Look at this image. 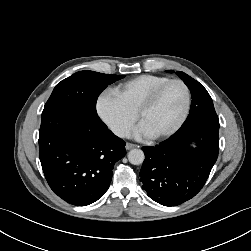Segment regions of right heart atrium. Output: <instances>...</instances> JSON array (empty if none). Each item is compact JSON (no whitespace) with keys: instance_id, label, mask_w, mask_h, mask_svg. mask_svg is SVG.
<instances>
[{"instance_id":"1","label":"right heart atrium","mask_w":251,"mask_h":251,"mask_svg":"<svg viewBox=\"0 0 251 251\" xmlns=\"http://www.w3.org/2000/svg\"><path fill=\"white\" fill-rule=\"evenodd\" d=\"M95 107L99 118L116 136L123 138L129 135L136 114L127 108L115 90H103L96 99Z\"/></svg>"}]
</instances>
